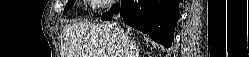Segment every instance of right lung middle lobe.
<instances>
[{
	"label": "right lung middle lobe",
	"mask_w": 249,
	"mask_h": 57,
	"mask_svg": "<svg viewBox=\"0 0 249 57\" xmlns=\"http://www.w3.org/2000/svg\"><path fill=\"white\" fill-rule=\"evenodd\" d=\"M74 3H75V0L68 1V3L65 6L63 14H65L69 9H71Z\"/></svg>",
	"instance_id": "obj_1"
}]
</instances>
